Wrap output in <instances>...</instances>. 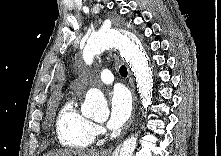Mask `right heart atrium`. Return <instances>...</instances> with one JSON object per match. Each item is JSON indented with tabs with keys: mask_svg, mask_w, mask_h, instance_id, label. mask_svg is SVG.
<instances>
[{
	"mask_svg": "<svg viewBox=\"0 0 221 156\" xmlns=\"http://www.w3.org/2000/svg\"><path fill=\"white\" fill-rule=\"evenodd\" d=\"M95 134L102 132V127L99 125H94Z\"/></svg>",
	"mask_w": 221,
	"mask_h": 156,
	"instance_id": "obj_1",
	"label": "right heart atrium"
}]
</instances>
